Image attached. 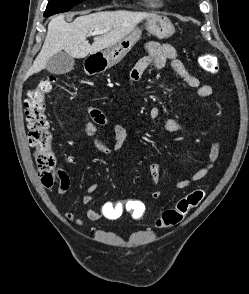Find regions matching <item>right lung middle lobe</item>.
Returning <instances> with one entry per match:
<instances>
[{
    "label": "right lung middle lobe",
    "instance_id": "1",
    "mask_svg": "<svg viewBox=\"0 0 249 294\" xmlns=\"http://www.w3.org/2000/svg\"><path fill=\"white\" fill-rule=\"evenodd\" d=\"M84 0H50L47 8L44 12V17H49L51 15L67 12L71 8Z\"/></svg>",
    "mask_w": 249,
    "mask_h": 294
}]
</instances>
